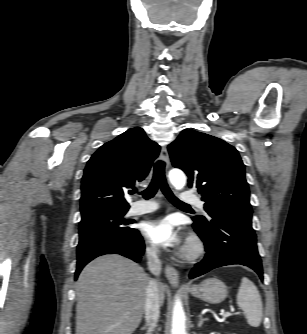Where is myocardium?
<instances>
[{"label": "myocardium", "instance_id": "myocardium-1", "mask_svg": "<svg viewBox=\"0 0 307 334\" xmlns=\"http://www.w3.org/2000/svg\"><path fill=\"white\" fill-rule=\"evenodd\" d=\"M205 251V245L202 239L192 234L188 237L187 243L181 252V257L185 260L192 261L199 258Z\"/></svg>", "mask_w": 307, "mask_h": 334}]
</instances>
